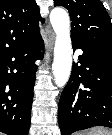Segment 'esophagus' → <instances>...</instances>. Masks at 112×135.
<instances>
[{"mask_svg":"<svg viewBox=\"0 0 112 135\" xmlns=\"http://www.w3.org/2000/svg\"><path fill=\"white\" fill-rule=\"evenodd\" d=\"M49 41H50L49 45H50V47H51L52 44H53V41H54V35H53V34H50V35H49Z\"/></svg>","mask_w":112,"mask_h":135,"instance_id":"obj_1","label":"esophagus"}]
</instances>
